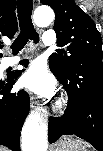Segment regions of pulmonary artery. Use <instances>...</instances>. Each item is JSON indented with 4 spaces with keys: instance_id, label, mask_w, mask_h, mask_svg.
<instances>
[{
    "instance_id": "1",
    "label": "pulmonary artery",
    "mask_w": 103,
    "mask_h": 151,
    "mask_svg": "<svg viewBox=\"0 0 103 151\" xmlns=\"http://www.w3.org/2000/svg\"><path fill=\"white\" fill-rule=\"evenodd\" d=\"M43 42L45 45H52L55 42V33L53 31H47L43 35ZM23 56H16L10 59V64L14 65L18 63Z\"/></svg>"
}]
</instances>
